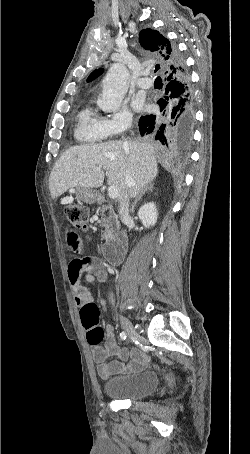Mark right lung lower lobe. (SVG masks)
Segmentation results:
<instances>
[{
  "label": "right lung lower lobe",
  "mask_w": 250,
  "mask_h": 454,
  "mask_svg": "<svg viewBox=\"0 0 250 454\" xmlns=\"http://www.w3.org/2000/svg\"><path fill=\"white\" fill-rule=\"evenodd\" d=\"M171 73L164 75L165 93L157 101L159 110L139 119L141 136L154 138L171 149L188 146L194 127V99L183 57L170 43Z\"/></svg>",
  "instance_id": "98d812e1"
}]
</instances>
